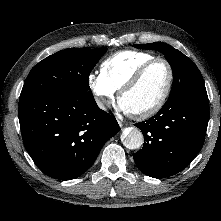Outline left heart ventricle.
<instances>
[{"instance_id": "obj_1", "label": "left heart ventricle", "mask_w": 221, "mask_h": 221, "mask_svg": "<svg viewBox=\"0 0 221 221\" xmlns=\"http://www.w3.org/2000/svg\"><path fill=\"white\" fill-rule=\"evenodd\" d=\"M168 82V69L163 63L152 65L137 85L123 95V103L130 112L145 110L162 96Z\"/></svg>"}]
</instances>
